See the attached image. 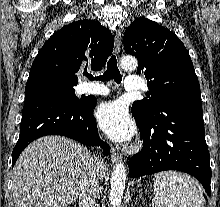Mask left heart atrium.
I'll return each instance as SVG.
<instances>
[{
	"mask_svg": "<svg viewBox=\"0 0 220 207\" xmlns=\"http://www.w3.org/2000/svg\"><path fill=\"white\" fill-rule=\"evenodd\" d=\"M96 118L100 129L113 141L125 143L135 134V124L127 107L120 101L100 105L96 111Z\"/></svg>",
	"mask_w": 220,
	"mask_h": 207,
	"instance_id": "left-heart-atrium-1",
	"label": "left heart atrium"
}]
</instances>
